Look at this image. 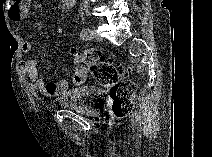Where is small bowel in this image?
<instances>
[{"instance_id":"small-bowel-1","label":"small bowel","mask_w":212,"mask_h":157,"mask_svg":"<svg viewBox=\"0 0 212 157\" xmlns=\"http://www.w3.org/2000/svg\"><path fill=\"white\" fill-rule=\"evenodd\" d=\"M30 0H13L7 4V16L11 21L18 22L27 17L30 10ZM63 9H71L74 5L73 0H62ZM32 49V43L25 41L22 45L23 53H29ZM20 74L26 83L28 89L40 90L48 97L61 96L70 89V81L68 79H61L58 81H51L41 79L39 77L38 63L34 59L22 61L20 66ZM74 81L75 80L74 77Z\"/></svg>"}]
</instances>
